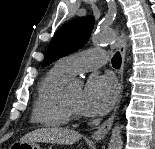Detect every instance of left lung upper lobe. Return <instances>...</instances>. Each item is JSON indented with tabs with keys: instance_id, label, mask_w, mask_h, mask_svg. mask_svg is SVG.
I'll return each instance as SVG.
<instances>
[{
	"instance_id": "left-lung-upper-lobe-1",
	"label": "left lung upper lobe",
	"mask_w": 155,
	"mask_h": 149,
	"mask_svg": "<svg viewBox=\"0 0 155 149\" xmlns=\"http://www.w3.org/2000/svg\"><path fill=\"white\" fill-rule=\"evenodd\" d=\"M92 17H82L62 25L53 36L42 66L79 50L87 42L93 28Z\"/></svg>"
}]
</instances>
